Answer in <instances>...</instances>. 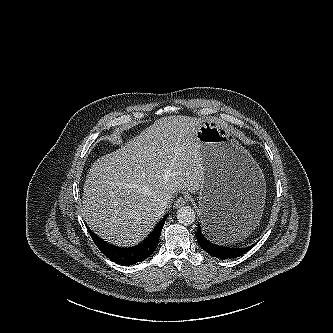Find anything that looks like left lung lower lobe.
<instances>
[{
	"mask_svg": "<svg viewBox=\"0 0 333 333\" xmlns=\"http://www.w3.org/2000/svg\"><path fill=\"white\" fill-rule=\"evenodd\" d=\"M214 219L210 223V229L212 230L214 236L219 240V241H224L221 240L222 234L226 233L231 226H236L240 224V222H236L233 219H228L226 220L223 218V216L219 213H215ZM196 238L197 242L200 245V247L206 251L208 254H210L213 257L219 258V259H232L236 258L239 256H242L246 252H248L253 246L245 247V248H234V247H229V246H221L218 244H214L207 240V238L204 237L202 234V231L200 229V226L198 224V229L196 232Z\"/></svg>",
	"mask_w": 333,
	"mask_h": 333,
	"instance_id": "left-lung-lower-lobe-1",
	"label": "left lung lower lobe"
}]
</instances>
